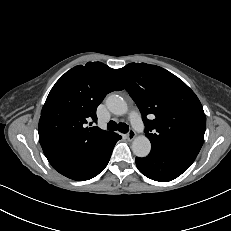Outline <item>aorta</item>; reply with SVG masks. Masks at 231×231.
<instances>
[{
    "mask_svg": "<svg viewBox=\"0 0 231 231\" xmlns=\"http://www.w3.org/2000/svg\"><path fill=\"white\" fill-rule=\"evenodd\" d=\"M106 106L115 115H123L128 111L125 100L118 95H110L106 99ZM151 143L145 136H138L132 142V151L137 157H146L150 153Z\"/></svg>",
    "mask_w": 231,
    "mask_h": 231,
    "instance_id": "obj_1",
    "label": "aorta"
}]
</instances>
